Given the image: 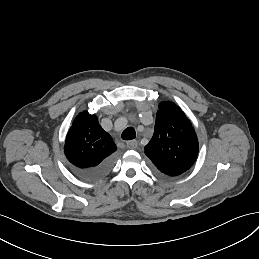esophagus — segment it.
<instances>
[{
	"instance_id": "esophagus-1",
	"label": "esophagus",
	"mask_w": 259,
	"mask_h": 259,
	"mask_svg": "<svg viewBox=\"0 0 259 259\" xmlns=\"http://www.w3.org/2000/svg\"><path fill=\"white\" fill-rule=\"evenodd\" d=\"M127 147L130 149H136L138 147V142L136 140L128 141Z\"/></svg>"
}]
</instances>
